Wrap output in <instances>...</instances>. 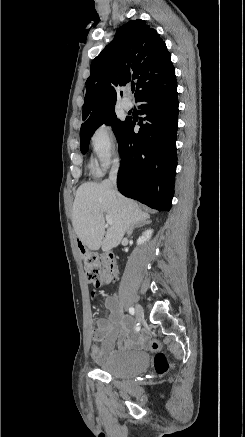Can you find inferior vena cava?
Segmentation results:
<instances>
[{
    "label": "inferior vena cava",
    "mask_w": 245,
    "mask_h": 437,
    "mask_svg": "<svg viewBox=\"0 0 245 437\" xmlns=\"http://www.w3.org/2000/svg\"><path fill=\"white\" fill-rule=\"evenodd\" d=\"M118 168H119V160L115 159L112 165V168L109 173V181L113 184L114 188L116 189V179L118 174Z\"/></svg>",
    "instance_id": "obj_1"
}]
</instances>
